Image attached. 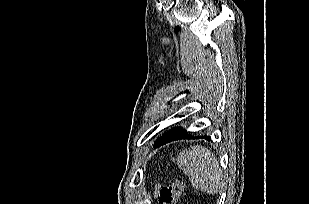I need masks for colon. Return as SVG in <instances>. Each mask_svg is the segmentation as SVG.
<instances>
[{"mask_svg":"<svg viewBox=\"0 0 309 204\" xmlns=\"http://www.w3.org/2000/svg\"><path fill=\"white\" fill-rule=\"evenodd\" d=\"M184 184L178 177H173L167 186L161 188L159 193L160 204H178L182 197Z\"/></svg>","mask_w":309,"mask_h":204,"instance_id":"5ec220e1","label":"colon"}]
</instances>
